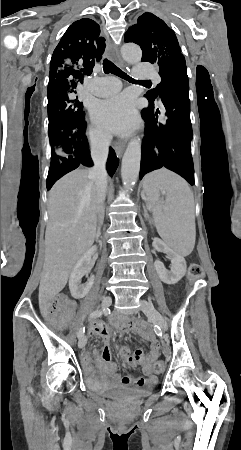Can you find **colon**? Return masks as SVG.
Listing matches in <instances>:
<instances>
[{"label": "colon", "mask_w": 241, "mask_h": 450, "mask_svg": "<svg viewBox=\"0 0 241 450\" xmlns=\"http://www.w3.org/2000/svg\"><path fill=\"white\" fill-rule=\"evenodd\" d=\"M203 275V269L200 265L196 263H192L189 266V276L191 279H197ZM156 373H160L163 370V365L158 363L155 365L154 368Z\"/></svg>", "instance_id": "colon-1"}]
</instances>
